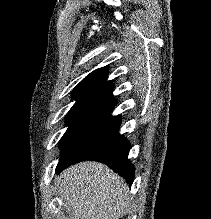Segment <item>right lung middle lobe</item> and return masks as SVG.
<instances>
[{"label":"right lung middle lobe","mask_w":211,"mask_h":219,"mask_svg":"<svg viewBox=\"0 0 211 219\" xmlns=\"http://www.w3.org/2000/svg\"><path fill=\"white\" fill-rule=\"evenodd\" d=\"M115 105L91 100L77 101L66 117L67 131L60 140L61 158H64L86 136L106 121Z\"/></svg>","instance_id":"dd1d6c3e"}]
</instances>
